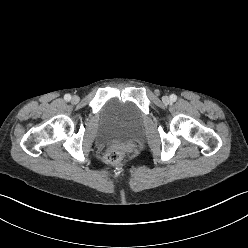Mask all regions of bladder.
Returning <instances> with one entry per match:
<instances>
[{"mask_svg":"<svg viewBox=\"0 0 248 248\" xmlns=\"http://www.w3.org/2000/svg\"><path fill=\"white\" fill-rule=\"evenodd\" d=\"M143 114L132 102L109 99L101 108L98 120V139L104 144L126 143L140 129Z\"/></svg>","mask_w":248,"mask_h":248,"instance_id":"obj_1","label":"bladder"}]
</instances>
